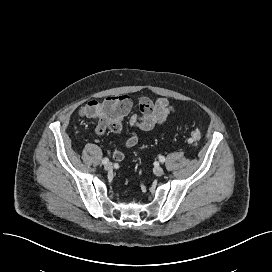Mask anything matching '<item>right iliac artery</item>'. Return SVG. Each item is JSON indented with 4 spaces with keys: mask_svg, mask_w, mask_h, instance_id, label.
Wrapping results in <instances>:
<instances>
[{
    "mask_svg": "<svg viewBox=\"0 0 272 272\" xmlns=\"http://www.w3.org/2000/svg\"><path fill=\"white\" fill-rule=\"evenodd\" d=\"M108 161H109L108 158H104V159L102 160V164H106Z\"/></svg>",
    "mask_w": 272,
    "mask_h": 272,
    "instance_id": "right-iliac-artery-1",
    "label": "right iliac artery"
}]
</instances>
